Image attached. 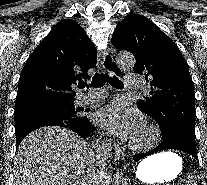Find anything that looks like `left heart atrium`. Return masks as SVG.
Here are the masks:
<instances>
[{
    "label": "left heart atrium",
    "instance_id": "1",
    "mask_svg": "<svg viewBox=\"0 0 207 185\" xmlns=\"http://www.w3.org/2000/svg\"><path fill=\"white\" fill-rule=\"evenodd\" d=\"M97 121L108 132L126 139H133L144 127L143 115L124 99L102 108L97 113Z\"/></svg>",
    "mask_w": 207,
    "mask_h": 185
}]
</instances>
